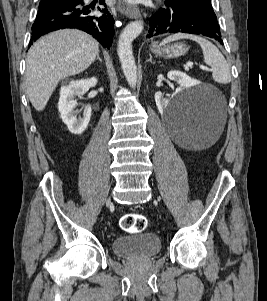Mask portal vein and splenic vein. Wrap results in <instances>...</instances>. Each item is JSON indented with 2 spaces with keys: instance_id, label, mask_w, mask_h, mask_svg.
Masks as SVG:
<instances>
[{
  "instance_id": "portal-vein-and-splenic-vein-1",
  "label": "portal vein and splenic vein",
  "mask_w": 267,
  "mask_h": 301,
  "mask_svg": "<svg viewBox=\"0 0 267 301\" xmlns=\"http://www.w3.org/2000/svg\"><path fill=\"white\" fill-rule=\"evenodd\" d=\"M192 66H193V63H192V62H188V63L186 64V67H187V68H191ZM200 68L203 69V70H205V71H209V70H210L208 67L203 66V65H200Z\"/></svg>"
}]
</instances>
